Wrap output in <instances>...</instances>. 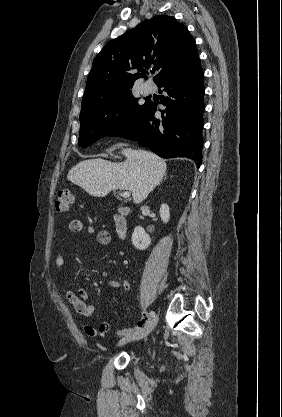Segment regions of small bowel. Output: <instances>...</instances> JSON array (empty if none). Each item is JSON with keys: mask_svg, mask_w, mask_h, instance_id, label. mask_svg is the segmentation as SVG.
I'll return each instance as SVG.
<instances>
[{"mask_svg": "<svg viewBox=\"0 0 282 417\" xmlns=\"http://www.w3.org/2000/svg\"><path fill=\"white\" fill-rule=\"evenodd\" d=\"M69 229L71 232L75 234L82 233L85 229L84 223L80 219H73L69 223ZM89 234H93L95 232V228L93 226H89L87 228ZM97 242L101 246H107L111 242L110 233L107 230H100L97 233ZM55 264L60 274H63V264H64V257L62 252H59L55 258ZM105 281L108 286L115 288V289H122L124 291H129L130 284L127 280H119L115 278H111L105 276ZM66 297L68 301L75 307L76 311L83 316L84 318H91L95 312L96 307L93 304H88L87 301L89 300V292L85 288H81L79 290V295H75L71 291L66 292ZM144 325L143 322L139 321L137 327H142ZM110 330V324L108 322H103L98 328H95L90 325H84L83 331L89 337H94L100 335L101 337H107V334ZM132 328H126L124 333L129 335L132 333Z\"/></svg>", "mask_w": 282, "mask_h": 417, "instance_id": "1", "label": "small bowel"}]
</instances>
